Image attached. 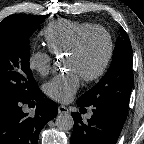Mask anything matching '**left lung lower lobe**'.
<instances>
[{
	"label": "left lung lower lobe",
	"instance_id": "obj_1",
	"mask_svg": "<svg viewBox=\"0 0 144 144\" xmlns=\"http://www.w3.org/2000/svg\"><path fill=\"white\" fill-rule=\"evenodd\" d=\"M127 114L109 104H99L94 106L92 117L84 123L80 113H72L74 126L71 144H116Z\"/></svg>",
	"mask_w": 144,
	"mask_h": 144
}]
</instances>
